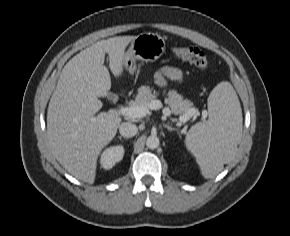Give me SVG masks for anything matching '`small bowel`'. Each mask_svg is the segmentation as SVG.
<instances>
[{"instance_id":"small-bowel-1","label":"small bowel","mask_w":290,"mask_h":236,"mask_svg":"<svg viewBox=\"0 0 290 236\" xmlns=\"http://www.w3.org/2000/svg\"><path fill=\"white\" fill-rule=\"evenodd\" d=\"M167 79L176 82H182L183 73L180 69L176 67H163L158 71L156 75L157 83L160 85H165Z\"/></svg>"}]
</instances>
